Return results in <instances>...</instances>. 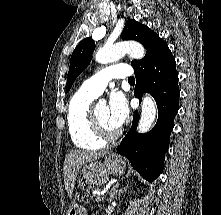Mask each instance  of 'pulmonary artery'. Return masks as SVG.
I'll return each instance as SVG.
<instances>
[{
	"label": "pulmonary artery",
	"mask_w": 221,
	"mask_h": 215,
	"mask_svg": "<svg viewBox=\"0 0 221 215\" xmlns=\"http://www.w3.org/2000/svg\"><path fill=\"white\" fill-rule=\"evenodd\" d=\"M132 69L127 64H116L106 67L87 79L81 90L95 97L99 96L111 79L130 78Z\"/></svg>",
	"instance_id": "1"
}]
</instances>
